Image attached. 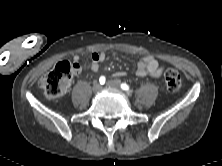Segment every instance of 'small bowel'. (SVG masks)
Segmentation results:
<instances>
[{"label": "small bowel", "instance_id": "1", "mask_svg": "<svg viewBox=\"0 0 222 166\" xmlns=\"http://www.w3.org/2000/svg\"><path fill=\"white\" fill-rule=\"evenodd\" d=\"M106 59V54L103 52H93L91 54V70L97 72L100 69V64ZM79 57H74V64H78ZM80 67L75 70V74H78ZM164 71V66H162L158 60L151 56H144L139 60L136 67V75L138 77H144L150 75L151 77L158 78L162 75ZM126 73L124 71H118L115 73L116 77L124 76Z\"/></svg>", "mask_w": 222, "mask_h": 166}]
</instances>
